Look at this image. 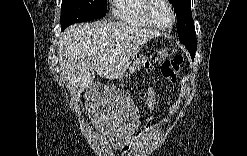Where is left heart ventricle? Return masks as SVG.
Here are the masks:
<instances>
[{
    "instance_id": "obj_1",
    "label": "left heart ventricle",
    "mask_w": 247,
    "mask_h": 156,
    "mask_svg": "<svg viewBox=\"0 0 247 156\" xmlns=\"http://www.w3.org/2000/svg\"><path fill=\"white\" fill-rule=\"evenodd\" d=\"M152 17L156 23L162 26H167L172 21L169 7L161 1L155 3L152 10Z\"/></svg>"
}]
</instances>
